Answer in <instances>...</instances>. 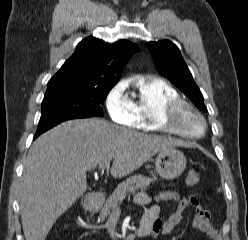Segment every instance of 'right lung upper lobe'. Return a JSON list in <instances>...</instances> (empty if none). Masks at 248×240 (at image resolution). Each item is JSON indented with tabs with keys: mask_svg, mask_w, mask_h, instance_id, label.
<instances>
[{
	"mask_svg": "<svg viewBox=\"0 0 248 240\" xmlns=\"http://www.w3.org/2000/svg\"><path fill=\"white\" fill-rule=\"evenodd\" d=\"M139 48L127 40L113 44L87 37L49 80L47 91L61 88L110 89L119 80L125 64Z\"/></svg>",
	"mask_w": 248,
	"mask_h": 240,
	"instance_id": "right-lung-upper-lobe-1",
	"label": "right lung upper lobe"
}]
</instances>
